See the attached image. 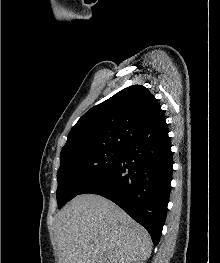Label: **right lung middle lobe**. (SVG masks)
<instances>
[{"mask_svg":"<svg viewBox=\"0 0 220 263\" xmlns=\"http://www.w3.org/2000/svg\"><path fill=\"white\" fill-rule=\"evenodd\" d=\"M120 148H95L71 151L60 155L61 165L57 172V202L61 208L67 201L104 174L117 163L123 154Z\"/></svg>","mask_w":220,"mask_h":263,"instance_id":"right-lung-middle-lobe-1","label":"right lung middle lobe"}]
</instances>
